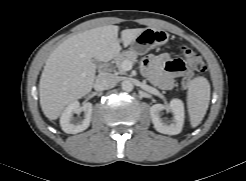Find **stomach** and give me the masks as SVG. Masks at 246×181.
<instances>
[{
	"mask_svg": "<svg viewBox=\"0 0 246 181\" xmlns=\"http://www.w3.org/2000/svg\"><path fill=\"white\" fill-rule=\"evenodd\" d=\"M168 41V34L165 31L146 28L131 43L130 51L142 55L147 53L151 48L164 44Z\"/></svg>",
	"mask_w": 246,
	"mask_h": 181,
	"instance_id": "0dacf381",
	"label": "stomach"
}]
</instances>
